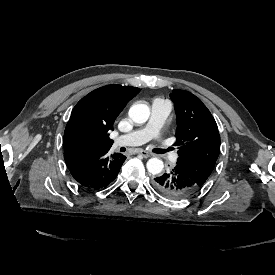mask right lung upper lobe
<instances>
[{
	"instance_id": "1",
	"label": "right lung upper lobe",
	"mask_w": 275,
	"mask_h": 275,
	"mask_svg": "<svg viewBox=\"0 0 275 275\" xmlns=\"http://www.w3.org/2000/svg\"><path fill=\"white\" fill-rule=\"evenodd\" d=\"M139 88L107 85L83 97L73 108L64 132V153L82 148H110L109 131Z\"/></svg>"
}]
</instances>
